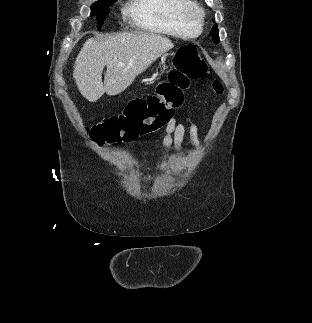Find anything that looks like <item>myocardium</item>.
<instances>
[{"label": "myocardium", "mask_w": 312, "mask_h": 323, "mask_svg": "<svg viewBox=\"0 0 312 323\" xmlns=\"http://www.w3.org/2000/svg\"><path fill=\"white\" fill-rule=\"evenodd\" d=\"M180 4H190L192 0H178ZM194 6H197V3H194ZM193 5L184 6L182 10L177 12L179 17H185L187 21H195V23H199L202 21L204 17L207 16L206 10H199V8H195Z\"/></svg>", "instance_id": "obj_1"}]
</instances>
